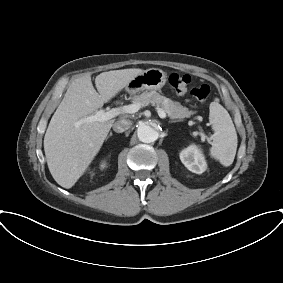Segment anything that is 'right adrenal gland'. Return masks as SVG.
Here are the masks:
<instances>
[{
	"label": "right adrenal gland",
	"instance_id": "right-adrenal-gland-1",
	"mask_svg": "<svg viewBox=\"0 0 283 283\" xmlns=\"http://www.w3.org/2000/svg\"><path fill=\"white\" fill-rule=\"evenodd\" d=\"M112 135H113L112 132H110V134L107 136L106 140H107L108 138H110Z\"/></svg>",
	"mask_w": 283,
	"mask_h": 283
}]
</instances>
